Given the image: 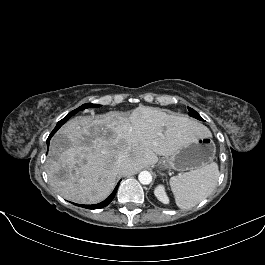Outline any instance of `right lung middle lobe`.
I'll return each mask as SVG.
<instances>
[{"mask_svg":"<svg viewBox=\"0 0 265 265\" xmlns=\"http://www.w3.org/2000/svg\"><path fill=\"white\" fill-rule=\"evenodd\" d=\"M101 105H97V104H92V103H86L83 104L82 106H80L79 108L73 110L71 113H69L66 117H64L62 120H60L58 122V124L56 126H61L63 125L71 116H73L74 114H76L77 112L84 110L86 108H97L100 107Z\"/></svg>","mask_w":265,"mask_h":265,"instance_id":"right-lung-middle-lobe-1","label":"right lung middle lobe"}]
</instances>
